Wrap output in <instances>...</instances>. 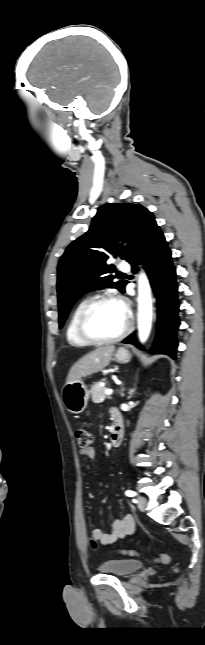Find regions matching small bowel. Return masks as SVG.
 <instances>
[{
	"label": "small bowel",
	"instance_id": "small-bowel-1",
	"mask_svg": "<svg viewBox=\"0 0 205 645\" xmlns=\"http://www.w3.org/2000/svg\"><path fill=\"white\" fill-rule=\"evenodd\" d=\"M80 454L88 459H95L96 451L93 447H88L80 450ZM135 521L131 515H125L121 518L113 520L109 531H103L100 528H95L89 535V542L91 546L96 549L98 545L108 546L135 532Z\"/></svg>",
	"mask_w": 205,
	"mask_h": 645
}]
</instances>
